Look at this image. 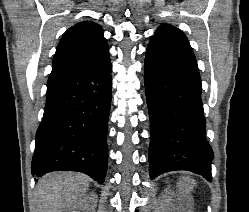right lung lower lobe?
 Returning <instances> with one entry per match:
<instances>
[{
    "label": "right lung lower lobe",
    "instance_id": "98d812e1",
    "mask_svg": "<svg viewBox=\"0 0 249 212\" xmlns=\"http://www.w3.org/2000/svg\"><path fill=\"white\" fill-rule=\"evenodd\" d=\"M111 80L107 56L88 69L47 83L43 120L36 133L33 175L70 170L104 182Z\"/></svg>",
    "mask_w": 249,
    "mask_h": 212
}]
</instances>
